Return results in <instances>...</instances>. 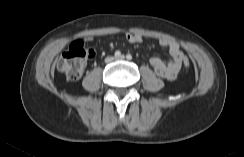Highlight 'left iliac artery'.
Wrapping results in <instances>:
<instances>
[{"label": "left iliac artery", "mask_w": 244, "mask_h": 157, "mask_svg": "<svg viewBox=\"0 0 244 157\" xmlns=\"http://www.w3.org/2000/svg\"><path fill=\"white\" fill-rule=\"evenodd\" d=\"M126 58H127L128 60H131V59H132V55H131V54H127V55H126Z\"/></svg>", "instance_id": "44dca946"}]
</instances>
